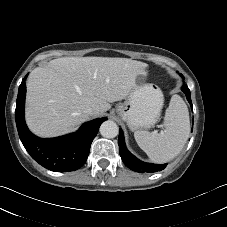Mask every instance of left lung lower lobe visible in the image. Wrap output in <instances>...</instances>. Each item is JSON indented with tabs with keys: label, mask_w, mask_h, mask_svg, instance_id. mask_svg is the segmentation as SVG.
<instances>
[{
	"label": "left lung lower lobe",
	"mask_w": 227,
	"mask_h": 227,
	"mask_svg": "<svg viewBox=\"0 0 227 227\" xmlns=\"http://www.w3.org/2000/svg\"><path fill=\"white\" fill-rule=\"evenodd\" d=\"M182 78L184 79L183 76ZM181 90L185 93L187 100L192 107L190 90L187 87V85H183ZM118 143H119V153L122 158V161L131 170L140 172V173H143V172L153 173V172L161 171L166 167V164L158 165V164L144 163L138 160L134 155H132L126 148L123 131L121 129L119 130Z\"/></svg>",
	"instance_id": "obj_1"
}]
</instances>
